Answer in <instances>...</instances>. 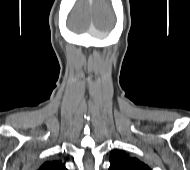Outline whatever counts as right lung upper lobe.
<instances>
[{
	"instance_id": "right-lung-upper-lobe-1",
	"label": "right lung upper lobe",
	"mask_w": 190,
	"mask_h": 170,
	"mask_svg": "<svg viewBox=\"0 0 190 170\" xmlns=\"http://www.w3.org/2000/svg\"><path fill=\"white\" fill-rule=\"evenodd\" d=\"M38 170H67L61 161H47Z\"/></svg>"
}]
</instances>
